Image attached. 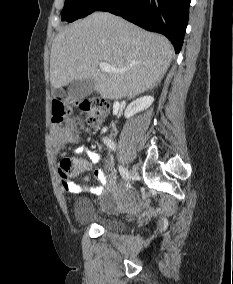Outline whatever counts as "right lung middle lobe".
<instances>
[{
    "mask_svg": "<svg viewBox=\"0 0 233 284\" xmlns=\"http://www.w3.org/2000/svg\"><path fill=\"white\" fill-rule=\"evenodd\" d=\"M107 0H65L62 10V20L72 22L85 17L102 5Z\"/></svg>",
    "mask_w": 233,
    "mask_h": 284,
    "instance_id": "dd1d6c3e",
    "label": "right lung middle lobe"
}]
</instances>
